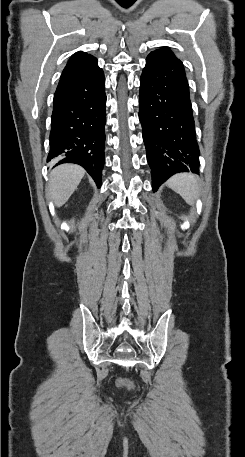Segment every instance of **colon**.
<instances>
[{"mask_svg":"<svg viewBox=\"0 0 245 457\" xmlns=\"http://www.w3.org/2000/svg\"><path fill=\"white\" fill-rule=\"evenodd\" d=\"M119 383H120V385H123V386H126V387H131L132 386L131 382L129 380H126V379H120Z\"/></svg>","mask_w":245,"mask_h":457,"instance_id":"1","label":"colon"}]
</instances>
